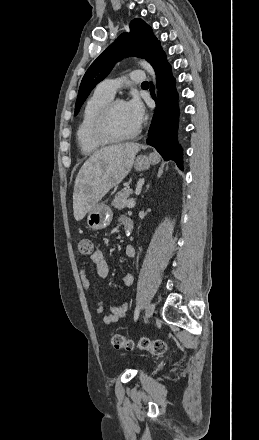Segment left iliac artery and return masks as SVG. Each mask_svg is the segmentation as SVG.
Instances as JSON below:
<instances>
[{"mask_svg": "<svg viewBox=\"0 0 259 440\" xmlns=\"http://www.w3.org/2000/svg\"><path fill=\"white\" fill-rule=\"evenodd\" d=\"M139 313H140V307L137 306L135 309V312H134V320L135 321L138 319Z\"/></svg>", "mask_w": 259, "mask_h": 440, "instance_id": "1", "label": "left iliac artery"}]
</instances>
